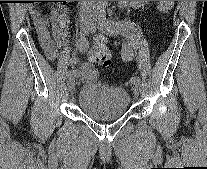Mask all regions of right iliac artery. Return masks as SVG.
<instances>
[{
  "label": "right iliac artery",
  "instance_id": "82829eb1",
  "mask_svg": "<svg viewBox=\"0 0 207 169\" xmlns=\"http://www.w3.org/2000/svg\"><path fill=\"white\" fill-rule=\"evenodd\" d=\"M90 31V30H89ZM89 31H84V34L81 35V37L79 38L78 42H77V46L79 47L81 52H85L88 48V41L86 38V35ZM76 73L74 71H70L68 74V78L70 79H75L76 78Z\"/></svg>",
  "mask_w": 207,
  "mask_h": 169
}]
</instances>
